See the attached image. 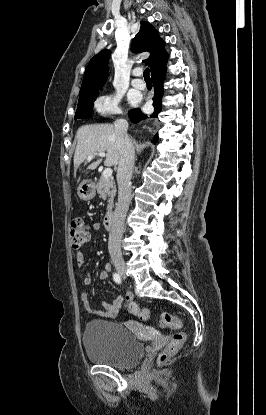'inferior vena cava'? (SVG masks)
<instances>
[{"label":"inferior vena cava","instance_id":"602c4592","mask_svg":"<svg viewBox=\"0 0 266 415\" xmlns=\"http://www.w3.org/2000/svg\"><path fill=\"white\" fill-rule=\"evenodd\" d=\"M120 159L117 169L118 202L114 211L109 232L108 250L111 258L122 257L121 240L124 232L125 217L131 201V178L134 168V146L127 134L128 122L118 119L114 122Z\"/></svg>","mask_w":266,"mask_h":415}]
</instances>
